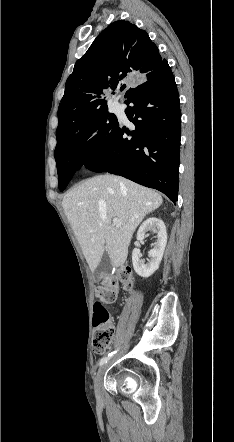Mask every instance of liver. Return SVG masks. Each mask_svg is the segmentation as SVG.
<instances>
[{
    "label": "liver",
    "instance_id": "liver-1",
    "mask_svg": "<svg viewBox=\"0 0 234 442\" xmlns=\"http://www.w3.org/2000/svg\"><path fill=\"white\" fill-rule=\"evenodd\" d=\"M162 202L161 195L154 190L105 174L69 191L62 207L94 272L105 251L114 267L125 263L136 228ZM113 218L120 220L121 227L111 223Z\"/></svg>",
    "mask_w": 234,
    "mask_h": 442
}]
</instances>
